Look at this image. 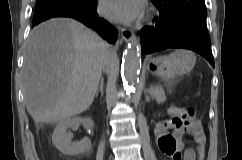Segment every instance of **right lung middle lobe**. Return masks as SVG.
<instances>
[{
  "label": "right lung middle lobe",
  "instance_id": "right-lung-middle-lobe-1",
  "mask_svg": "<svg viewBox=\"0 0 242 160\" xmlns=\"http://www.w3.org/2000/svg\"><path fill=\"white\" fill-rule=\"evenodd\" d=\"M89 2L90 0H37L35 10L54 3L85 5V4H88Z\"/></svg>",
  "mask_w": 242,
  "mask_h": 160
}]
</instances>
